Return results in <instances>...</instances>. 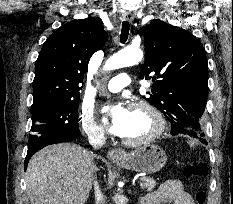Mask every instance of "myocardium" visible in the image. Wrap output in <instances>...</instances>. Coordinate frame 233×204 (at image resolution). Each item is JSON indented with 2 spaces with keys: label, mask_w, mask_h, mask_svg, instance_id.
<instances>
[{
  "label": "myocardium",
  "mask_w": 233,
  "mask_h": 204,
  "mask_svg": "<svg viewBox=\"0 0 233 204\" xmlns=\"http://www.w3.org/2000/svg\"><path fill=\"white\" fill-rule=\"evenodd\" d=\"M144 109L146 110L155 122L154 130L147 136L140 139H126L121 137L123 144L130 147H139L150 144L158 139L165 131L166 121L162 113L149 101L146 100H135L129 104V109Z\"/></svg>",
  "instance_id": "obj_1"
}]
</instances>
